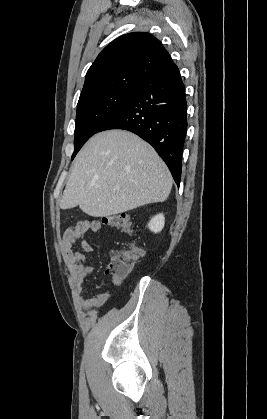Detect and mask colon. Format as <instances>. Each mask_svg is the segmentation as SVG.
<instances>
[{
    "label": "colon",
    "mask_w": 267,
    "mask_h": 419,
    "mask_svg": "<svg viewBox=\"0 0 267 419\" xmlns=\"http://www.w3.org/2000/svg\"><path fill=\"white\" fill-rule=\"evenodd\" d=\"M101 222L107 226L118 228L125 233L134 231L132 219L124 213L109 215L102 218ZM142 255V250L136 246L129 249L115 250L111 253L107 273L112 277H124L129 274L138 258Z\"/></svg>",
    "instance_id": "colon-1"
}]
</instances>
